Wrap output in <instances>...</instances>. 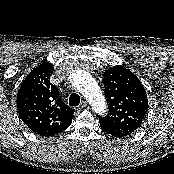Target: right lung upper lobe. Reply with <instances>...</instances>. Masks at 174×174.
Instances as JSON below:
<instances>
[{
    "instance_id": "obj_1",
    "label": "right lung upper lobe",
    "mask_w": 174,
    "mask_h": 174,
    "mask_svg": "<svg viewBox=\"0 0 174 174\" xmlns=\"http://www.w3.org/2000/svg\"><path fill=\"white\" fill-rule=\"evenodd\" d=\"M53 65L44 62L24 79L17 93V110L22 121L34 133L56 135L72 122L74 110L63 103L56 86L50 83Z\"/></svg>"
}]
</instances>
